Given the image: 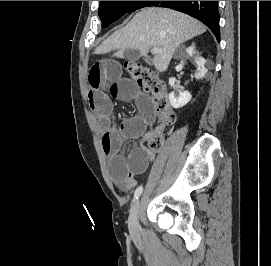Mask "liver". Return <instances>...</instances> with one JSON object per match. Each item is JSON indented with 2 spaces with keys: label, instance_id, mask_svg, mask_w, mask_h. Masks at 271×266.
<instances>
[{
  "label": "liver",
  "instance_id": "obj_1",
  "mask_svg": "<svg viewBox=\"0 0 271 266\" xmlns=\"http://www.w3.org/2000/svg\"><path fill=\"white\" fill-rule=\"evenodd\" d=\"M205 31L203 24L186 14L168 8L148 7L107 38L95 54L117 50L114 56L123 58L125 50H136L141 56H146L150 48L157 47L161 52L155 54L153 65L159 72H164L175 49Z\"/></svg>",
  "mask_w": 271,
  "mask_h": 266
}]
</instances>
